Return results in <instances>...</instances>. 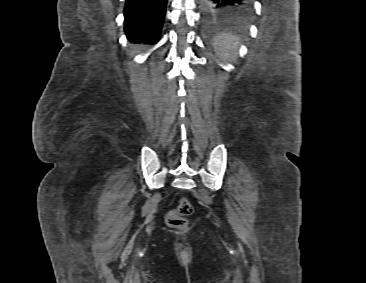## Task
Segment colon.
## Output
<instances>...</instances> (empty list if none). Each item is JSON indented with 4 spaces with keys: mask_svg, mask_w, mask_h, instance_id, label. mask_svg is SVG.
<instances>
[{
    "mask_svg": "<svg viewBox=\"0 0 366 283\" xmlns=\"http://www.w3.org/2000/svg\"><path fill=\"white\" fill-rule=\"evenodd\" d=\"M193 213V206L186 197H181L178 204L167 214V223L176 229H186L188 226L187 217Z\"/></svg>",
    "mask_w": 366,
    "mask_h": 283,
    "instance_id": "colon-1",
    "label": "colon"
}]
</instances>
